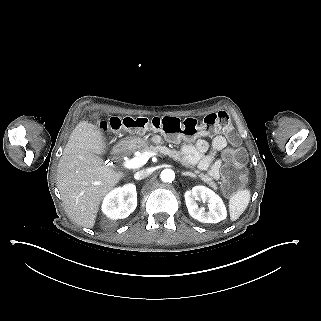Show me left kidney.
Segmentation results:
<instances>
[{"label": "left kidney", "mask_w": 321, "mask_h": 321, "mask_svg": "<svg viewBox=\"0 0 321 321\" xmlns=\"http://www.w3.org/2000/svg\"><path fill=\"white\" fill-rule=\"evenodd\" d=\"M207 205L205 208H198L197 200ZM186 206L189 214L203 223H218L226 218V209L222 200L213 191L204 186H194L185 193Z\"/></svg>", "instance_id": "1"}]
</instances>
